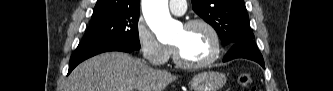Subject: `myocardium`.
Segmentation results:
<instances>
[{
	"instance_id": "obj_1",
	"label": "myocardium",
	"mask_w": 333,
	"mask_h": 91,
	"mask_svg": "<svg viewBox=\"0 0 333 91\" xmlns=\"http://www.w3.org/2000/svg\"><path fill=\"white\" fill-rule=\"evenodd\" d=\"M197 26L204 27L210 33V35L213 39V43H214L213 53L206 60L199 61V62H191V61L186 60L182 56V54L177 46L173 45L174 61L180 67L187 68V69L205 68V67L213 64L214 62H216L221 55V51H222L221 38H220V35H219L218 31L216 30V28L211 23H209L203 19H192V20L187 21L184 24V27L186 29H190V28L197 27Z\"/></svg>"
}]
</instances>
